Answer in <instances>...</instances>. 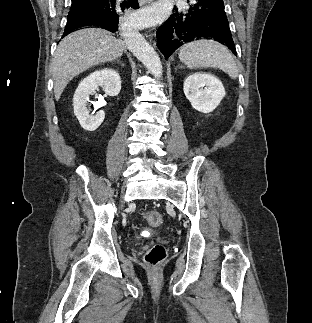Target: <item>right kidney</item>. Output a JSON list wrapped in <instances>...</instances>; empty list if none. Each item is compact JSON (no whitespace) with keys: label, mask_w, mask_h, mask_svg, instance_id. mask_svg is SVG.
I'll return each mask as SVG.
<instances>
[{"label":"right kidney","mask_w":312,"mask_h":323,"mask_svg":"<svg viewBox=\"0 0 312 323\" xmlns=\"http://www.w3.org/2000/svg\"><path fill=\"white\" fill-rule=\"evenodd\" d=\"M99 86H102L108 96H118L121 90V80L118 72L111 70V68L97 70V72H93V74L80 82L73 96L74 114L78 118L80 126L84 130H88V132L97 130L105 118L103 110L96 112V114H90L87 108L89 96L94 94Z\"/></svg>","instance_id":"obj_1"}]
</instances>
